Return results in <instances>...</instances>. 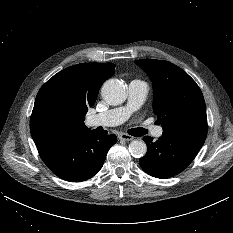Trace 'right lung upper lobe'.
Segmentation results:
<instances>
[{
	"label": "right lung upper lobe",
	"mask_w": 233,
	"mask_h": 233,
	"mask_svg": "<svg viewBox=\"0 0 233 233\" xmlns=\"http://www.w3.org/2000/svg\"><path fill=\"white\" fill-rule=\"evenodd\" d=\"M114 68L113 63H81L49 79L37 94L30 118L36 146L90 132L84 117L94 105L102 83L115 73Z\"/></svg>",
	"instance_id": "obj_1"
}]
</instances>
